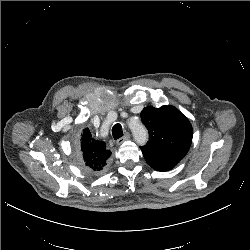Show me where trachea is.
<instances>
[{"label": "trachea", "mask_w": 250, "mask_h": 250, "mask_svg": "<svg viewBox=\"0 0 250 250\" xmlns=\"http://www.w3.org/2000/svg\"><path fill=\"white\" fill-rule=\"evenodd\" d=\"M112 135L115 140L123 136L122 126L120 124H115L112 128Z\"/></svg>", "instance_id": "obj_1"}]
</instances>
